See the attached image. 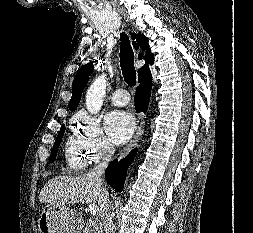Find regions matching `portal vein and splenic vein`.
<instances>
[{
	"label": "portal vein and splenic vein",
	"instance_id": "1",
	"mask_svg": "<svg viewBox=\"0 0 253 233\" xmlns=\"http://www.w3.org/2000/svg\"><path fill=\"white\" fill-rule=\"evenodd\" d=\"M89 210H90V213H91L93 216H95L96 213H97V210H98L97 205H95V204H90V205H89Z\"/></svg>",
	"mask_w": 253,
	"mask_h": 233
}]
</instances>
